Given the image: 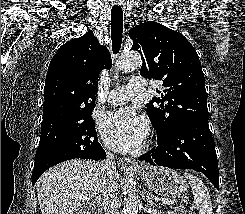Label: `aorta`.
<instances>
[{"instance_id": "obj_1", "label": "aorta", "mask_w": 245, "mask_h": 214, "mask_svg": "<svg viewBox=\"0 0 245 214\" xmlns=\"http://www.w3.org/2000/svg\"><path fill=\"white\" fill-rule=\"evenodd\" d=\"M142 64V59L139 53L129 52L121 55L116 61V69L118 71H127L139 68ZM124 194V212L125 214L138 213V195L135 187L133 177H128L122 187Z\"/></svg>"}]
</instances>
